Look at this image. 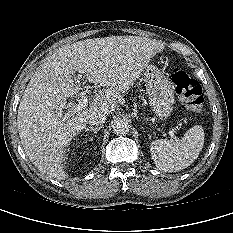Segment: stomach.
<instances>
[{
	"label": "stomach",
	"instance_id": "0dacf381",
	"mask_svg": "<svg viewBox=\"0 0 233 233\" xmlns=\"http://www.w3.org/2000/svg\"><path fill=\"white\" fill-rule=\"evenodd\" d=\"M143 72L152 111L159 120H166L175 101L173 86L164 72L153 64H148Z\"/></svg>",
	"mask_w": 233,
	"mask_h": 233
}]
</instances>
